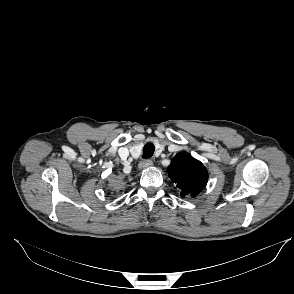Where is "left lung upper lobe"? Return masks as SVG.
I'll return each instance as SVG.
<instances>
[{
    "mask_svg": "<svg viewBox=\"0 0 294 294\" xmlns=\"http://www.w3.org/2000/svg\"><path fill=\"white\" fill-rule=\"evenodd\" d=\"M171 180L181 189V196L195 197L206 186L208 173L203 164L192 156L177 154L167 169Z\"/></svg>",
    "mask_w": 294,
    "mask_h": 294,
    "instance_id": "1",
    "label": "left lung upper lobe"
}]
</instances>
